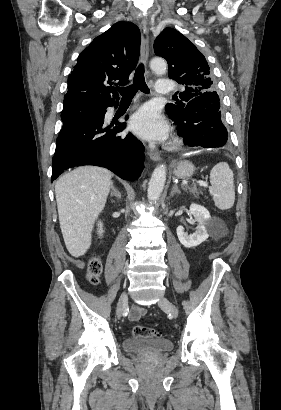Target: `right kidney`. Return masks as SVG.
<instances>
[{
	"mask_svg": "<svg viewBox=\"0 0 281 410\" xmlns=\"http://www.w3.org/2000/svg\"><path fill=\"white\" fill-rule=\"evenodd\" d=\"M103 233V224L102 222L98 223V234L101 236Z\"/></svg>",
	"mask_w": 281,
	"mask_h": 410,
	"instance_id": "ca27d5eb",
	"label": "right kidney"
}]
</instances>
